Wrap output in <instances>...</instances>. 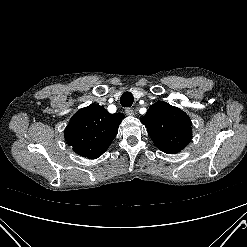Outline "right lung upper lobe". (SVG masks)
<instances>
[{"label": "right lung upper lobe", "instance_id": "cb5924a9", "mask_svg": "<svg viewBox=\"0 0 247 247\" xmlns=\"http://www.w3.org/2000/svg\"><path fill=\"white\" fill-rule=\"evenodd\" d=\"M124 117L122 113L110 114L92 103L70 119L64 131L65 140L77 154L96 159L108 149Z\"/></svg>", "mask_w": 247, "mask_h": 247}]
</instances>
